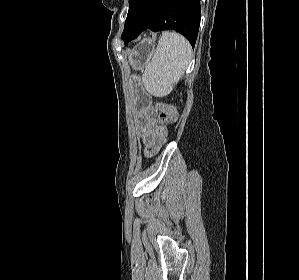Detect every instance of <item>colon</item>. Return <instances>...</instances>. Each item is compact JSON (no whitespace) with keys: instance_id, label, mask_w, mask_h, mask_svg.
<instances>
[{"instance_id":"5ec220e1","label":"colon","mask_w":299,"mask_h":280,"mask_svg":"<svg viewBox=\"0 0 299 280\" xmlns=\"http://www.w3.org/2000/svg\"><path fill=\"white\" fill-rule=\"evenodd\" d=\"M159 120L162 123H170L176 120V110L171 105H164V112L159 115Z\"/></svg>"}]
</instances>
